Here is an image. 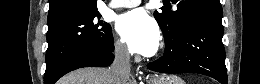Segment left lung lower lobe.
Masks as SVG:
<instances>
[{
    "mask_svg": "<svg viewBox=\"0 0 260 84\" xmlns=\"http://www.w3.org/2000/svg\"><path fill=\"white\" fill-rule=\"evenodd\" d=\"M222 36L221 18H191L173 37H164V56L147 66L161 73H199L227 84Z\"/></svg>",
    "mask_w": 260,
    "mask_h": 84,
    "instance_id": "1",
    "label": "left lung lower lobe"
}]
</instances>
